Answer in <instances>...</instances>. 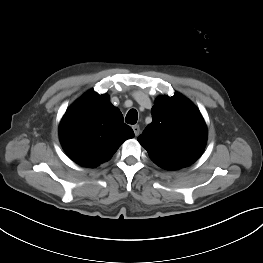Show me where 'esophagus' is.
Wrapping results in <instances>:
<instances>
[{
  "label": "esophagus",
  "instance_id": "1",
  "mask_svg": "<svg viewBox=\"0 0 263 263\" xmlns=\"http://www.w3.org/2000/svg\"><path fill=\"white\" fill-rule=\"evenodd\" d=\"M132 128H133L135 136H138L140 134V127H139V125H134Z\"/></svg>",
  "mask_w": 263,
  "mask_h": 263
}]
</instances>
